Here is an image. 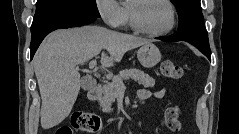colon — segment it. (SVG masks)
<instances>
[{"label":"colon","instance_id":"5ec220e1","mask_svg":"<svg viewBox=\"0 0 239 134\" xmlns=\"http://www.w3.org/2000/svg\"><path fill=\"white\" fill-rule=\"evenodd\" d=\"M161 74L171 80L180 79L183 76V69L181 66L171 60H166L161 65ZM182 111L179 106H171L165 112V123L167 127L174 132L181 128L179 117ZM101 128V121L97 116L78 112L75 113L70 126L59 128L55 134H73L74 131H87L91 133L99 132Z\"/></svg>","mask_w":239,"mask_h":134}]
</instances>
